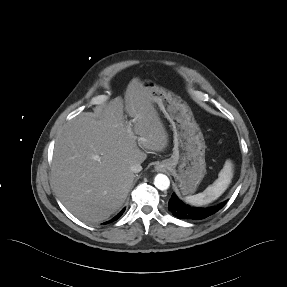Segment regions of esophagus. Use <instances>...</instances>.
<instances>
[{"label":"esophagus","mask_w":287,"mask_h":287,"mask_svg":"<svg viewBox=\"0 0 287 287\" xmlns=\"http://www.w3.org/2000/svg\"><path fill=\"white\" fill-rule=\"evenodd\" d=\"M163 167H164V166H163V165H161V164L157 166V168H163Z\"/></svg>","instance_id":"obj_1"}]
</instances>
